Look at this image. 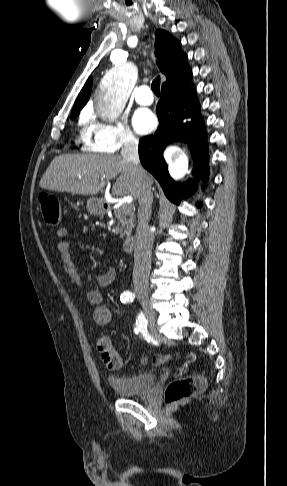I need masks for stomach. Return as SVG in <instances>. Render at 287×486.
<instances>
[{
  "label": "stomach",
  "mask_w": 287,
  "mask_h": 486,
  "mask_svg": "<svg viewBox=\"0 0 287 486\" xmlns=\"http://www.w3.org/2000/svg\"><path fill=\"white\" fill-rule=\"evenodd\" d=\"M87 211L90 214L98 215L104 213V202L97 197H91L87 200Z\"/></svg>",
  "instance_id": "0dacf381"
}]
</instances>
